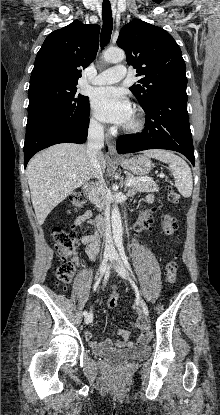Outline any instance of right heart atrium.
<instances>
[{"label": "right heart atrium", "mask_w": 220, "mask_h": 415, "mask_svg": "<svg viewBox=\"0 0 220 415\" xmlns=\"http://www.w3.org/2000/svg\"><path fill=\"white\" fill-rule=\"evenodd\" d=\"M90 126H91L94 130H97V131L102 130V125H101V123H100L97 119H95L94 117H91V118H90Z\"/></svg>", "instance_id": "d8ad5b80"}]
</instances>
